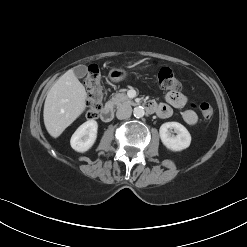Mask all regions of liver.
Returning <instances> with one entry per match:
<instances>
[{
	"instance_id": "6515ba94",
	"label": "liver",
	"mask_w": 247,
	"mask_h": 247,
	"mask_svg": "<svg viewBox=\"0 0 247 247\" xmlns=\"http://www.w3.org/2000/svg\"><path fill=\"white\" fill-rule=\"evenodd\" d=\"M87 93L72 69L48 91L44 103V124L48 133L59 137L85 110Z\"/></svg>"
}]
</instances>
